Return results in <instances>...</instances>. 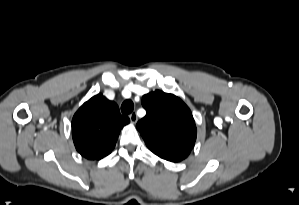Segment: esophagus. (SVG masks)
<instances>
[{
	"label": "esophagus",
	"mask_w": 299,
	"mask_h": 205,
	"mask_svg": "<svg viewBox=\"0 0 299 205\" xmlns=\"http://www.w3.org/2000/svg\"><path fill=\"white\" fill-rule=\"evenodd\" d=\"M129 118H130V121H131L132 123H136L137 120H138L137 114H136L135 112L131 113V114L129 115Z\"/></svg>",
	"instance_id": "obj_1"
}]
</instances>
